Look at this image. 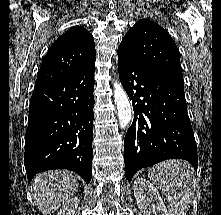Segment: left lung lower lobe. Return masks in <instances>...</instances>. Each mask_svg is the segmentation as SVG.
Instances as JSON below:
<instances>
[{"label":"left lung lower lobe","instance_id":"1","mask_svg":"<svg viewBox=\"0 0 221 215\" xmlns=\"http://www.w3.org/2000/svg\"><path fill=\"white\" fill-rule=\"evenodd\" d=\"M118 71L132 101L133 123L124 138L126 178L141 168L180 158L198 167L184 88L140 67L118 51Z\"/></svg>","mask_w":221,"mask_h":215}]
</instances>
